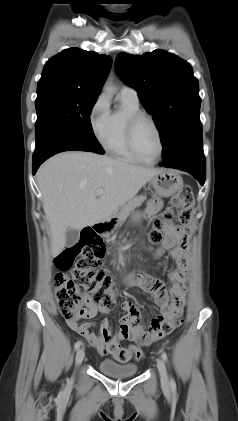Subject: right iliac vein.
Here are the masks:
<instances>
[{"label":"right iliac vein","mask_w":238,"mask_h":421,"mask_svg":"<svg viewBox=\"0 0 238 421\" xmlns=\"http://www.w3.org/2000/svg\"><path fill=\"white\" fill-rule=\"evenodd\" d=\"M84 357H85L84 349L82 348L78 349L75 356L76 366H79L83 362Z\"/></svg>","instance_id":"63e3f726"}]
</instances>
